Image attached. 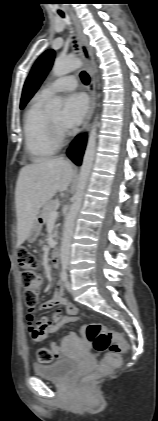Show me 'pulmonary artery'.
Segmentation results:
<instances>
[{
  "mask_svg": "<svg viewBox=\"0 0 158 421\" xmlns=\"http://www.w3.org/2000/svg\"><path fill=\"white\" fill-rule=\"evenodd\" d=\"M77 86V80L74 76L68 75L60 77L48 84H46L41 90L40 94L44 97H50L55 93L63 91L74 90Z\"/></svg>",
  "mask_w": 158,
  "mask_h": 421,
  "instance_id": "pulmonary-artery-1",
  "label": "pulmonary artery"
}]
</instances>
